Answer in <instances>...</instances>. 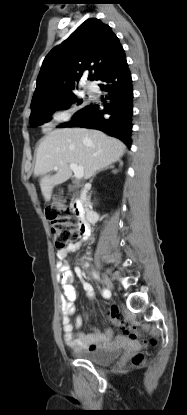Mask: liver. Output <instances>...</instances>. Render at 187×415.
Instances as JSON below:
<instances>
[{"label":"liver","mask_w":187,"mask_h":415,"mask_svg":"<svg viewBox=\"0 0 187 415\" xmlns=\"http://www.w3.org/2000/svg\"><path fill=\"white\" fill-rule=\"evenodd\" d=\"M125 144L98 130L82 128L55 129L47 133L39 144L34 176H41L40 188L45 201L51 199L54 186L64 183L71 175L70 163L84 168V178L118 161ZM57 166L55 175H47Z\"/></svg>","instance_id":"6515ba94"}]
</instances>
